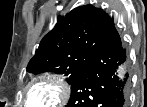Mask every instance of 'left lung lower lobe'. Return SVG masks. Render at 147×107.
Listing matches in <instances>:
<instances>
[{
  "mask_svg": "<svg viewBox=\"0 0 147 107\" xmlns=\"http://www.w3.org/2000/svg\"><path fill=\"white\" fill-rule=\"evenodd\" d=\"M125 61L126 51L113 27L71 83L66 107H126L129 75L122 69Z\"/></svg>",
  "mask_w": 147,
  "mask_h": 107,
  "instance_id": "0a47b994",
  "label": "left lung lower lobe"
}]
</instances>
